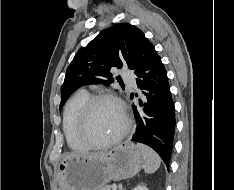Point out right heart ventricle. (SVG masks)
<instances>
[{"instance_id":"e07e8e85","label":"right heart ventricle","mask_w":234,"mask_h":190,"mask_svg":"<svg viewBox=\"0 0 234 190\" xmlns=\"http://www.w3.org/2000/svg\"><path fill=\"white\" fill-rule=\"evenodd\" d=\"M89 98L86 91H78L67 102L63 114V131L68 146L75 151H84L88 146L78 134V121L81 109Z\"/></svg>"}]
</instances>
